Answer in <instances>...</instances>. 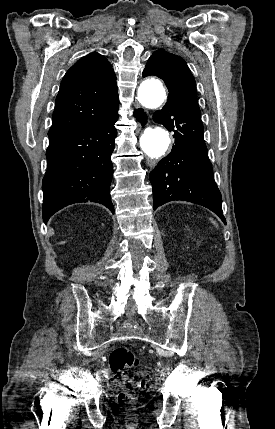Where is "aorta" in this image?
<instances>
[{"label":"aorta","instance_id":"aorta-1","mask_svg":"<svg viewBox=\"0 0 275 429\" xmlns=\"http://www.w3.org/2000/svg\"><path fill=\"white\" fill-rule=\"evenodd\" d=\"M165 98V89L154 78L143 81L138 89V100L146 108L160 107ZM170 141L169 133L164 128L148 127L140 137V146L147 156L157 159L165 154Z\"/></svg>","mask_w":275,"mask_h":429}]
</instances>
